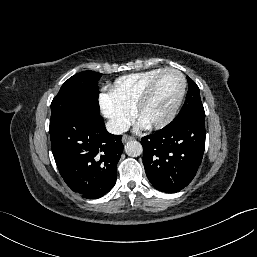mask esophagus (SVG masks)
Listing matches in <instances>:
<instances>
[{
  "label": "esophagus",
  "mask_w": 257,
  "mask_h": 257,
  "mask_svg": "<svg viewBox=\"0 0 257 257\" xmlns=\"http://www.w3.org/2000/svg\"><path fill=\"white\" fill-rule=\"evenodd\" d=\"M132 139H134V137L129 136V135H124V136L122 137V142H123V143H126L127 141L132 140Z\"/></svg>",
  "instance_id": "1"
}]
</instances>
